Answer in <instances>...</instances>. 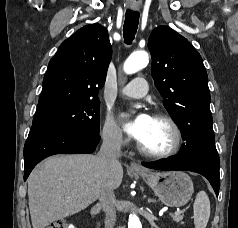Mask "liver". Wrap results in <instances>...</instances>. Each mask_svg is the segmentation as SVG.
Wrapping results in <instances>:
<instances>
[{
  "label": "liver",
  "instance_id": "obj_1",
  "mask_svg": "<svg viewBox=\"0 0 238 228\" xmlns=\"http://www.w3.org/2000/svg\"><path fill=\"white\" fill-rule=\"evenodd\" d=\"M123 179L118 162L107 169L96 155H57L37 165L28 178V197L33 228L76 214L98 198L100 186L114 190Z\"/></svg>",
  "mask_w": 238,
  "mask_h": 228
}]
</instances>
